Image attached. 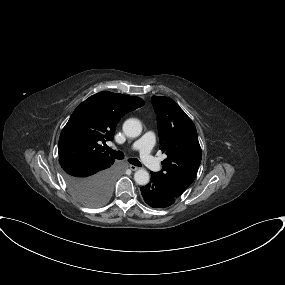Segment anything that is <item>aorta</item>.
Instances as JSON below:
<instances>
[{
  "label": "aorta",
  "mask_w": 285,
  "mask_h": 285,
  "mask_svg": "<svg viewBox=\"0 0 285 285\" xmlns=\"http://www.w3.org/2000/svg\"><path fill=\"white\" fill-rule=\"evenodd\" d=\"M123 132L127 137H138L142 132V125L138 119L130 118L123 123ZM150 176L145 169H139L134 174V180L139 185H146Z\"/></svg>",
  "instance_id": "aorta-1"
}]
</instances>
